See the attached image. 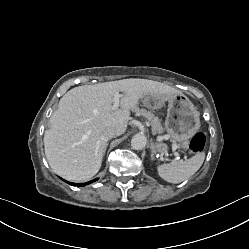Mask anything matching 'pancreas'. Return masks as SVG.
Here are the masks:
<instances>
[{
    "instance_id": "1",
    "label": "pancreas",
    "mask_w": 249,
    "mask_h": 249,
    "mask_svg": "<svg viewBox=\"0 0 249 249\" xmlns=\"http://www.w3.org/2000/svg\"><path fill=\"white\" fill-rule=\"evenodd\" d=\"M132 111L136 112L137 114L145 117L148 121H150L153 132H158V133L163 132L164 129L161 126L160 120L157 117H155L151 112L145 109H139L138 107H134Z\"/></svg>"
}]
</instances>
